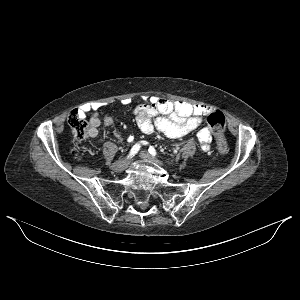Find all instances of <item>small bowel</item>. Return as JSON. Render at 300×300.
<instances>
[{
  "mask_svg": "<svg viewBox=\"0 0 300 300\" xmlns=\"http://www.w3.org/2000/svg\"><path fill=\"white\" fill-rule=\"evenodd\" d=\"M130 99H124L122 104L130 105ZM103 105L99 102L86 103L79 112L82 116L91 112L87 120V139L96 138L101 125L110 127L113 119L109 116L103 120L99 117V109ZM210 111V107L203 104H191L183 100H170L165 97L149 96L146 102L135 105L133 114L139 130L144 134L159 131L171 138H179L197 130V138L201 148L209 151L212 134L209 128L201 127L203 116ZM129 141L133 136H129Z\"/></svg>",
  "mask_w": 300,
  "mask_h": 300,
  "instance_id": "small-bowel-1",
  "label": "small bowel"
}]
</instances>
